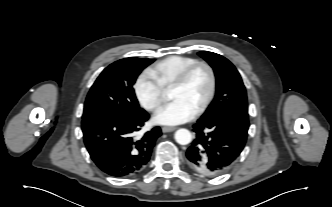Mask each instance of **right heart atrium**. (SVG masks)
<instances>
[{
    "mask_svg": "<svg viewBox=\"0 0 332 207\" xmlns=\"http://www.w3.org/2000/svg\"><path fill=\"white\" fill-rule=\"evenodd\" d=\"M134 88L140 104L147 111L155 112L159 109L163 102L164 91L149 73L139 75Z\"/></svg>",
    "mask_w": 332,
    "mask_h": 207,
    "instance_id": "d8ad5b80",
    "label": "right heart atrium"
}]
</instances>
